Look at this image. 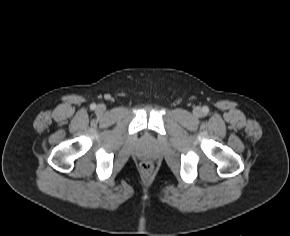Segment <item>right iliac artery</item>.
<instances>
[{
    "label": "right iliac artery",
    "mask_w": 290,
    "mask_h": 236,
    "mask_svg": "<svg viewBox=\"0 0 290 236\" xmlns=\"http://www.w3.org/2000/svg\"><path fill=\"white\" fill-rule=\"evenodd\" d=\"M90 108H91L92 110L96 109V104H91V105H90Z\"/></svg>",
    "instance_id": "right-iliac-artery-1"
}]
</instances>
